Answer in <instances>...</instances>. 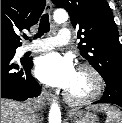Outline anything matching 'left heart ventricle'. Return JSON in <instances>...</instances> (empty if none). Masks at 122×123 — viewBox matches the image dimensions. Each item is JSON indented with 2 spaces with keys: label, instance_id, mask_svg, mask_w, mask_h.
I'll use <instances>...</instances> for the list:
<instances>
[{
  "label": "left heart ventricle",
  "instance_id": "left-heart-ventricle-1",
  "mask_svg": "<svg viewBox=\"0 0 122 123\" xmlns=\"http://www.w3.org/2000/svg\"><path fill=\"white\" fill-rule=\"evenodd\" d=\"M94 86V80L90 73L86 71H77L72 86L67 90L72 95L80 97L91 92Z\"/></svg>",
  "mask_w": 122,
  "mask_h": 123
}]
</instances>
